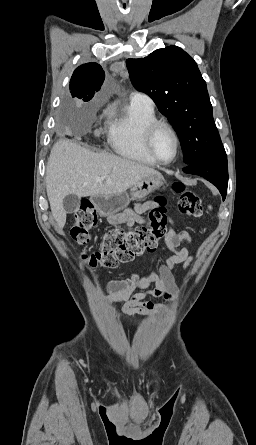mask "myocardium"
<instances>
[{
    "mask_svg": "<svg viewBox=\"0 0 256 445\" xmlns=\"http://www.w3.org/2000/svg\"><path fill=\"white\" fill-rule=\"evenodd\" d=\"M160 128H165L167 129L173 136L174 140H175V144H176V151L175 154L173 156V158L169 161H164L161 160L155 150H154V137L156 132L160 129ZM144 145H145V149L148 153V155L151 157V159L160 165H170L172 163H174L177 158L180 155V151H181V141H180V137L177 133V131L175 130V128L168 122L163 121V120H155L154 122H152L151 124H149L144 132Z\"/></svg>",
    "mask_w": 256,
    "mask_h": 445,
    "instance_id": "1",
    "label": "myocardium"
}]
</instances>
